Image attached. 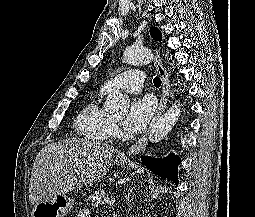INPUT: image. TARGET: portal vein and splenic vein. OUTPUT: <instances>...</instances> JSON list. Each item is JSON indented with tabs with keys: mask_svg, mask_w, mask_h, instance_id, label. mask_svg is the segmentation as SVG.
Returning a JSON list of instances; mask_svg holds the SVG:
<instances>
[{
	"mask_svg": "<svg viewBox=\"0 0 255 217\" xmlns=\"http://www.w3.org/2000/svg\"><path fill=\"white\" fill-rule=\"evenodd\" d=\"M105 202L107 203V204H109V205H112V204H114L115 203V198L114 197H107V198H105Z\"/></svg>",
	"mask_w": 255,
	"mask_h": 217,
	"instance_id": "portal-vein-and-splenic-vein-1",
	"label": "portal vein and splenic vein"
}]
</instances>
